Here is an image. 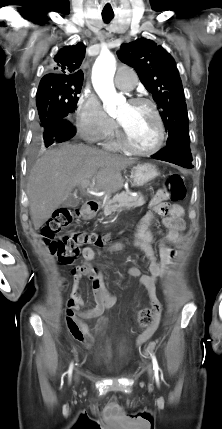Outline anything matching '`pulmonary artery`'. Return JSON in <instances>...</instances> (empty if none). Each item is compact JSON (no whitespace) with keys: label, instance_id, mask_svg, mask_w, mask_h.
<instances>
[{"label":"pulmonary artery","instance_id":"pulmonary-artery-1","mask_svg":"<svg viewBox=\"0 0 222 429\" xmlns=\"http://www.w3.org/2000/svg\"><path fill=\"white\" fill-rule=\"evenodd\" d=\"M115 84L121 90H132L137 84V76L133 69L129 67L119 68L115 75Z\"/></svg>","mask_w":222,"mask_h":429}]
</instances>
